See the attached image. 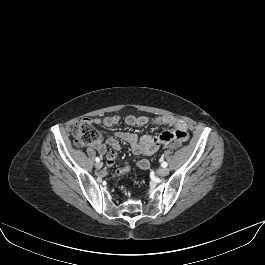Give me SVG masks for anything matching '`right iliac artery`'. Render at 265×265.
I'll list each match as a JSON object with an SVG mask.
<instances>
[{"label":"right iliac artery","instance_id":"82829eb1","mask_svg":"<svg viewBox=\"0 0 265 265\" xmlns=\"http://www.w3.org/2000/svg\"><path fill=\"white\" fill-rule=\"evenodd\" d=\"M95 161H96V162H99V161H100V158H99V157H96V158H95Z\"/></svg>","mask_w":265,"mask_h":265}]
</instances>
